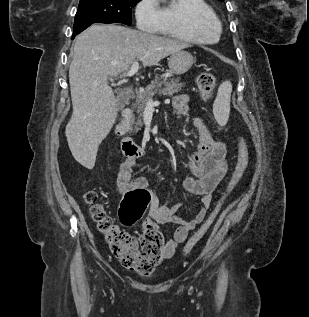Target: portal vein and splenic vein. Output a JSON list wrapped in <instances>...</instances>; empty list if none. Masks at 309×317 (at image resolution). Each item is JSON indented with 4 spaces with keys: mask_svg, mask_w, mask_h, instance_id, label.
<instances>
[{
    "mask_svg": "<svg viewBox=\"0 0 309 317\" xmlns=\"http://www.w3.org/2000/svg\"><path fill=\"white\" fill-rule=\"evenodd\" d=\"M138 68H139L138 61H134L130 70L127 73H124L122 75V77H129V76L134 75L137 72ZM153 105H154V102H153L152 98H150L147 102V106L152 107Z\"/></svg>",
    "mask_w": 309,
    "mask_h": 317,
    "instance_id": "portal-vein-and-splenic-vein-1",
    "label": "portal vein and splenic vein"
}]
</instances>
